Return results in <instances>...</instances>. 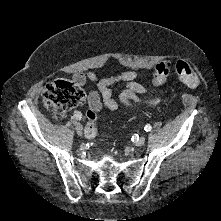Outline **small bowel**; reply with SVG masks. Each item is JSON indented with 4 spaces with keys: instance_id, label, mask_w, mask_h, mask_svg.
<instances>
[{
    "instance_id": "obj_1",
    "label": "small bowel",
    "mask_w": 221,
    "mask_h": 221,
    "mask_svg": "<svg viewBox=\"0 0 221 221\" xmlns=\"http://www.w3.org/2000/svg\"><path fill=\"white\" fill-rule=\"evenodd\" d=\"M137 77L136 71H126L108 78H99L94 72L88 71L75 74L73 79L79 85H84L88 80L97 83V90H90L87 95L89 107L95 111H100L103 106L110 111H116L119 103L126 107H133L139 103L149 106L158 104L159 96L143 98V95L147 94L149 90L145 85L136 81ZM117 84L123 85L119 101L113 97V87Z\"/></svg>"
}]
</instances>
